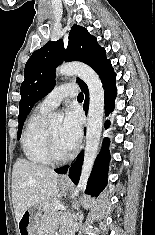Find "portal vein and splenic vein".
Instances as JSON below:
<instances>
[{
    "instance_id": "1",
    "label": "portal vein and splenic vein",
    "mask_w": 155,
    "mask_h": 235,
    "mask_svg": "<svg viewBox=\"0 0 155 235\" xmlns=\"http://www.w3.org/2000/svg\"><path fill=\"white\" fill-rule=\"evenodd\" d=\"M65 206L61 205V204H58L56 205V210H65Z\"/></svg>"
}]
</instances>
